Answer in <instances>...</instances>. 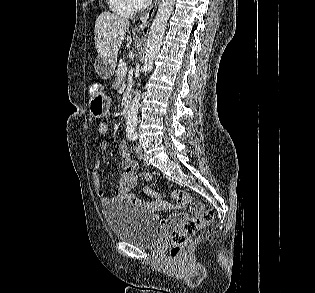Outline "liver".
I'll return each instance as SVG.
<instances>
[{
	"mask_svg": "<svg viewBox=\"0 0 315 293\" xmlns=\"http://www.w3.org/2000/svg\"><path fill=\"white\" fill-rule=\"evenodd\" d=\"M129 22L110 12H102L94 28L95 47L99 57L114 67L118 51L129 29Z\"/></svg>",
	"mask_w": 315,
	"mask_h": 293,
	"instance_id": "obj_1",
	"label": "liver"
}]
</instances>
